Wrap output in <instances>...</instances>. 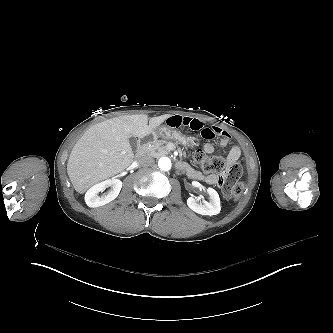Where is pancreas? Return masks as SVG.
Listing matches in <instances>:
<instances>
[{
    "mask_svg": "<svg viewBox=\"0 0 333 333\" xmlns=\"http://www.w3.org/2000/svg\"><path fill=\"white\" fill-rule=\"evenodd\" d=\"M166 140H155L147 148L146 155L151 157H162L170 153Z\"/></svg>",
    "mask_w": 333,
    "mask_h": 333,
    "instance_id": "obj_1",
    "label": "pancreas"
}]
</instances>
